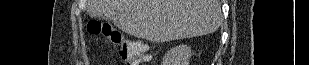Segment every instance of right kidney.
Wrapping results in <instances>:
<instances>
[{"instance_id": "right-kidney-1", "label": "right kidney", "mask_w": 309, "mask_h": 65, "mask_svg": "<svg viewBox=\"0 0 309 65\" xmlns=\"http://www.w3.org/2000/svg\"><path fill=\"white\" fill-rule=\"evenodd\" d=\"M191 47L178 45L170 49L163 58V65H189Z\"/></svg>"}]
</instances>
